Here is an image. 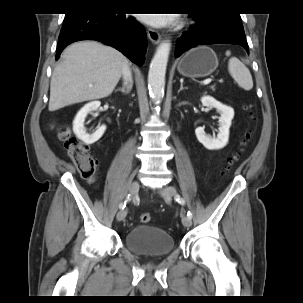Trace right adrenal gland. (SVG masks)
<instances>
[{
    "instance_id": "1",
    "label": "right adrenal gland",
    "mask_w": 303,
    "mask_h": 303,
    "mask_svg": "<svg viewBox=\"0 0 303 303\" xmlns=\"http://www.w3.org/2000/svg\"><path fill=\"white\" fill-rule=\"evenodd\" d=\"M131 89H132L131 85L129 86L124 85L123 87L118 88L116 91H121L123 94H128L130 93Z\"/></svg>"
}]
</instances>
